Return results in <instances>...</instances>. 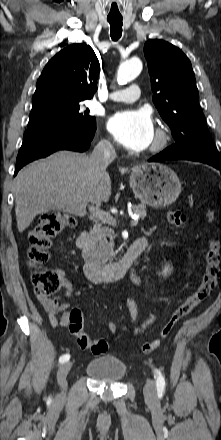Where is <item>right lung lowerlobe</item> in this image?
<instances>
[{
  "label": "right lung lower lobe",
  "mask_w": 221,
  "mask_h": 440,
  "mask_svg": "<svg viewBox=\"0 0 221 440\" xmlns=\"http://www.w3.org/2000/svg\"><path fill=\"white\" fill-rule=\"evenodd\" d=\"M95 130H70L56 126L27 129L16 159L14 175L26 164L44 158L57 150L86 151L90 147Z\"/></svg>",
  "instance_id": "98d812e1"
}]
</instances>
